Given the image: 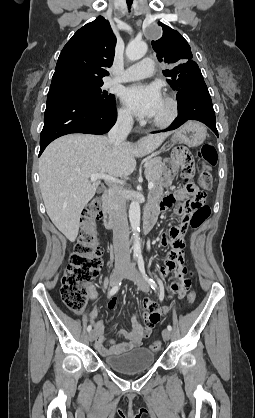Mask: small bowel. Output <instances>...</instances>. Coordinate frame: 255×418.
I'll use <instances>...</instances> for the list:
<instances>
[{
	"instance_id": "obj_1",
	"label": "small bowel",
	"mask_w": 255,
	"mask_h": 418,
	"mask_svg": "<svg viewBox=\"0 0 255 418\" xmlns=\"http://www.w3.org/2000/svg\"><path fill=\"white\" fill-rule=\"evenodd\" d=\"M194 156L189 153L188 147H173L170 161L167 162L165 171L163 174L161 186L156 188L152 194V200L158 211H164L174 205L176 201L183 200L189 194H194L197 189L194 183L191 181L190 176H184L185 185L175 191L174 194L163 195V188L170 185L174 175L179 169L183 170L185 163H193ZM178 212L182 213L180 209ZM183 214V213H182ZM187 235L185 227H173L168 228L167 233L162 234L159 237V245L164 248V265L160 268L162 276L171 274L172 281L170 288L174 293V300L179 302L180 300H186L187 295L191 288V275L187 274L185 264V242L184 237ZM168 244L169 247H166ZM90 296L93 302L97 299V293L93 288H90ZM116 301L110 300L108 303L109 309H114ZM145 312V324L143 327L136 317L131 319V329L122 330L119 335L123 336L126 341L123 343H115L109 341L110 345L106 346L105 328L102 321H95L97 316V307L93 306L90 312L89 319L93 322L95 333V346L102 356H109L114 354H121L128 350H131L139 346L142 340L147 337L152 327L159 322V320L167 317L166 309L160 308L159 305L151 300H144Z\"/></svg>"
}]
</instances>
